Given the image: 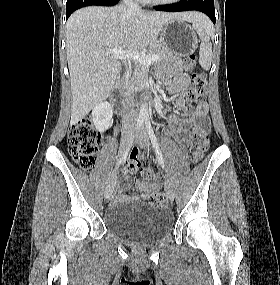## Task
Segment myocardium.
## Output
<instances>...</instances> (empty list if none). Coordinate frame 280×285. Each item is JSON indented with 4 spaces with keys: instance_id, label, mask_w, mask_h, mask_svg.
Instances as JSON below:
<instances>
[{
    "instance_id": "f54148a6",
    "label": "myocardium",
    "mask_w": 280,
    "mask_h": 285,
    "mask_svg": "<svg viewBox=\"0 0 280 285\" xmlns=\"http://www.w3.org/2000/svg\"><path fill=\"white\" fill-rule=\"evenodd\" d=\"M148 1L157 5H170L177 3L179 0H148Z\"/></svg>"
}]
</instances>
